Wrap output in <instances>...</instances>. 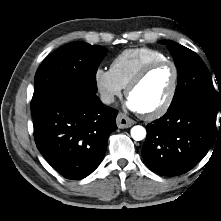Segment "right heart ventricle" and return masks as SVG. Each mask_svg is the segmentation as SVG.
Returning a JSON list of instances; mask_svg holds the SVG:
<instances>
[{"instance_id":"obj_1","label":"right heart ventricle","mask_w":221,"mask_h":221,"mask_svg":"<svg viewBox=\"0 0 221 221\" xmlns=\"http://www.w3.org/2000/svg\"><path fill=\"white\" fill-rule=\"evenodd\" d=\"M167 59L166 56L152 48H130L119 53L111 62L110 71L117 82L126 88L132 78L148 63Z\"/></svg>"}]
</instances>
